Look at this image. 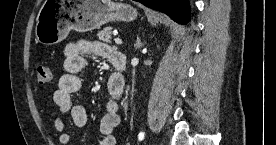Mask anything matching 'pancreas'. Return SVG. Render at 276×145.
Masks as SVG:
<instances>
[{
    "instance_id": "obj_1",
    "label": "pancreas",
    "mask_w": 276,
    "mask_h": 145,
    "mask_svg": "<svg viewBox=\"0 0 276 145\" xmlns=\"http://www.w3.org/2000/svg\"><path fill=\"white\" fill-rule=\"evenodd\" d=\"M97 35L100 40L111 43L112 27H105L103 30L99 31Z\"/></svg>"
}]
</instances>
